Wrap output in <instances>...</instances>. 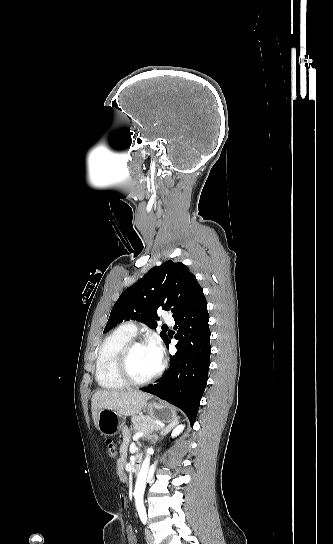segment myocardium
Wrapping results in <instances>:
<instances>
[{
  "label": "myocardium",
  "mask_w": 333,
  "mask_h": 544,
  "mask_svg": "<svg viewBox=\"0 0 333 544\" xmlns=\"http://www.w3.org/2000/svg\"><path fill=\"white\" fill-rule=\"evenodd\" d=\"M140 345H149V344H148L147 341L132 338L130 341H128L123 346V348L121 349V351L119 353L118 360H117V370H118V374H119L120 378L127 385L137 386V387L145 386V385H148V384L152 383L153 381H155L160 376V374H161V372L163 370V365L161 363L159 368L157 369V371L154 374H152L150 377L146 378V379L138 380V379H135L132 376V374L130 372V367H129L130 356H131V353H132L133 349L136 346H140Z\"/></svg>",
  "instance_id": "myocardium-1"
}]
</instances>
